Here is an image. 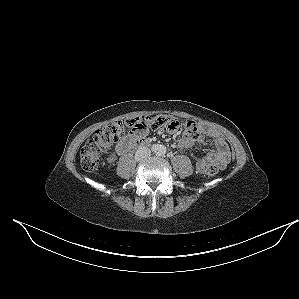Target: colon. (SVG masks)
<instances>
[{
    "mask_svg": "<svg viewBox=\"0 0 299 299\" xmlns=\"http://www.w3.org/2000/svg\"><path fill=\"white\" fill-rule=\"evenodd\" d=\"M180 122L175 118L164 114H151L142 118L112 121L98 129L85 143L80 151V162L85 170L94 169L102 156V153L113 144L120 142L127 136L135 133H143L148 129L166 128L171 132L180 130ZM186 137L194 138L198 134V127L193 121L184 126ZM219 168L215 165L206 167L207 175H214Z\"/></svg>",
    "mask_w": 299,
    "mask_h": 299,
    "instance_id": "colon-1",
    "label": "colon"
}]
</instances>
